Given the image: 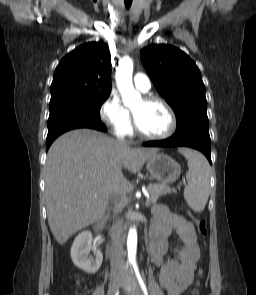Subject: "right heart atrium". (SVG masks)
<instances>
[{"label": "right heart atrium", "instance_id": "right-heart-atrium-1", "mask_svg": "<svg viewBox=\"0 0 256 295\" xmlns=\"http://www.w3.org/2000/svg\"><path fill=\"white\" fill-rule=\"evenodd\" d=\"M101 119L118 136H124L131 128V116L116 94H111L101 105Z\"/></svg>", "mask_w": 256, "mask_h": 295}]
</instances>
